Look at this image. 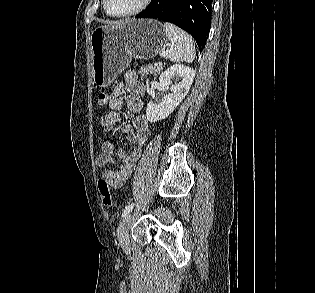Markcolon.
I'll return each mask as SVG.
<instances>
[{
    "instance_id": "5ec220e1",
    "label": "colon",
    "mask_w": 315,
    "mask_h": 293,
    "mask_svg": "<svg viewBox=\"0 0 315 293\" xmlns=\"http://www.w3.org/2000/svg\"><path fill=\"white\" fill-rule=\"evenodd\" d=\"M108 99L109 96L107 93L100 92L97 96L96 102L99 106H104L105 104H107ZM98 188L103 204L107 207H115L116 202L114 200V196L111 192L109 184L105 180L100 179L98 182Z\"/></svg>"
}]
</instances>
